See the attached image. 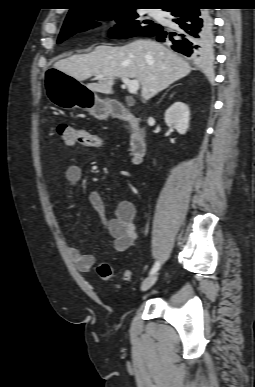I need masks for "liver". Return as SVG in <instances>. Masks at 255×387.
<instances>
[{
    "instance_id": "1",
    "label": "liver",
    "mask_w": 255,
    "mask_h": 387,
    "mask_svg": "<svg viewBox=\"0 0 255 387\" xmlns=\"http://www.w3.org/2000/svg\"><path fill=\"white\" fill-rule=\"evenodd\" d=\"M54 67L79 82L103 75L97 83L86 85L88 89L103 94L112 93L117 78L137 79L144 100L151 99L191 72L184 59L149 39H139L121 47L100 45L91 53L61 59Z\"/></svg>"
}]
</instances>
